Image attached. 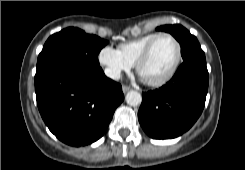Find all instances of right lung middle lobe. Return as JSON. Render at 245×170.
I'll use <instances>...</instances> for the list:
<instances>
[{"label": "right lung middle lobe", "instance_id": "1", "mask_svg": "<svg viewBox=\"0 0 245 170\" xmlns=\"http://www.w3.org/2000/svg\"><path fill=\"white\" fill-rule=\"evenodd\" d=\"M108 43L95 35L70 27L48 38L38 56L35 82L65 66L100 67L98 54Z\"/></svg>", "mask_w": 245, "mask_h": 170}]
</instances>
